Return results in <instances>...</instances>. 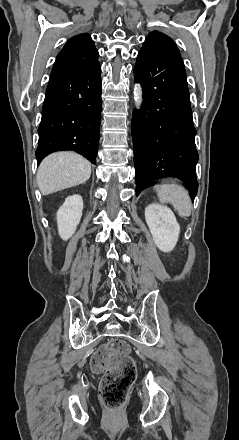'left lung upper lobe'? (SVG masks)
Listing matches in <instances>:
<instances>
[{"label":"left lung upper lobe","instance_id":"left-lung-upper-lobe-1","mask_svg":"<svg viewBox=\"0 0 239 440\" xmlns=\"http://www.w3.org/2000/svg\"><path fill=\"white\" fill-rule=\"evenodd\" d=\"M141 49H149L167 55L180 56L174 41L167 35L153 31L147 37Z\"/></svg>","mask_w":239,"mask_h":440}]
</instances>
